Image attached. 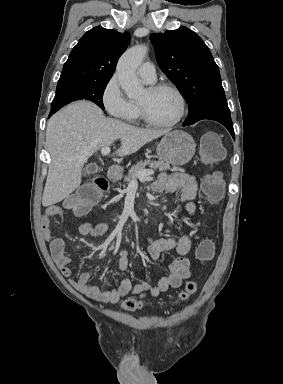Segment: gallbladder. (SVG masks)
<instances>
[{"label": "gallbladder", "mask_w": 283, "mask_h": 384, "mask_svg": "<svg viewBox=\"0 0 283 384\" xmlns=\"http://www.w3.org/2000/svg\"><path fill=\"white\" fill-rule=\"evenodd\" d=\"M88 170L89 172H91L90 174L93 175L94 174L93 172H98L99 167L98 165H89Z\"/></svg>", "instance_id": "obj_1"}]
</instances>
